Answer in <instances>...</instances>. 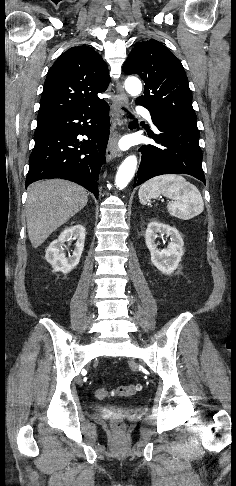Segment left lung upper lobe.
<instances>
[{"instance_id":"left-lung-upper-lobe-1","label":"left lung upper lobe","mask_w":236,"mask_h":486,"mask_svg":"<svg viewBox=\"0 0 236 486\" xmlns=\"http://www.w3.org/2000/svg\"><path fill=\"white\" fill-rule=\"evenodd\" d=\"M123 71L138 74L145 83L137 104L167 122L198 130L185 70L167 47L154 39L136 43Z\"/></svg>"}]
</instances>
